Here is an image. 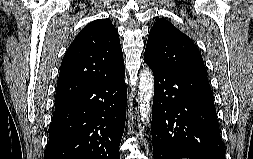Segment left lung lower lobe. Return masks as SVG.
<instances>
[{"instance_id":"obj_1","label":"left lung lower lobe","mask_w":253,"mask_h":159,"mask_svg":"<svg viewBox=\"0 0 253 159\" xmlns=\"http://www.w3.org/2000/svg\"><path fill=\"white\" fill-rule=\"evenodd\" d=\"M149 67L154 159H225L207 75Z\"/></svg>"}]
</instances>
